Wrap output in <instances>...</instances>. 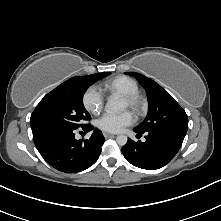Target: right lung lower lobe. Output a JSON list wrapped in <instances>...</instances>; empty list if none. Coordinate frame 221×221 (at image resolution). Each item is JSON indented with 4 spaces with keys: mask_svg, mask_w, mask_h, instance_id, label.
Instances as JSON below:
<instances>
[{
    "mask_svg": "<svg viewBox=\"0 0 221 221\" xmlns=\"http://www.w3.org/2000/svg\"><path fill=\"white\" fill-rule=\"evenodd\" d=\"M78 128L50 126L33 130V141L44 160L65 173H77L92 166L99 158L105 141L100 130H94L88 140L75 139ZM80 129L91 131L85 124Z\"/></svg>",
    "mask_w": 221,
    "mask_h": 221,
    "instance_id": "1",
    "label": "right lung lower lobe"
}]
</instances>
